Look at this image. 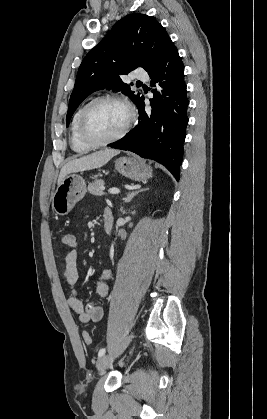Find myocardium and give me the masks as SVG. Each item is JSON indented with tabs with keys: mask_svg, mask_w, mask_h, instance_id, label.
I'll return each mask as SVG.
<instances>
[{
	"mask_svg": "<svg viewBox=\"0 0 267 419\" xmlns=\"http://www.w3.org/2000/svg\"><path fill=\"white\" fill-rule=\"evenodd\" d=\"M104 101H115L124 105L125 108L127 109L128 118L123 128L116 135L105 140H95L86 133L85 122L91 108L95 106L96 104L104 102ZM135 119H136V114H135L134 108L126 98L116 95V94H106V95L98 96L92 99L83 107L79 116V120H78V127H77L78 136L84 144L92 148L105 146L123 138L130 130Z\"/></svg>",
	"mask_w": 267,
	"mask_h": 419,
	"instance_id": "f54148a6",
	"label": "myocardium"
}]
</instances>
